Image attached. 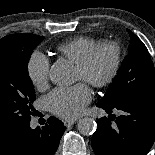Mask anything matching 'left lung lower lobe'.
Returning <instances> with one entry per match:
<instances>
[{"label":"left lung lower lobe","mask_w":155,"mask_h":155,"mask_svg":"<svg viewBox=\"0 0 155 155\" xmlns=\"http://www.w3.org/2000/svg\"><path fill=\"white\" fill-rule=\"evenodd\" d=\"M111 113L113 108L126 112L114 119L98 120L91 145L96 155H146L155 141V88L139 90L116 103H98Z\"/></svg>","instance_id":"left-lung-lower-lobe-1"}]
</instances>
